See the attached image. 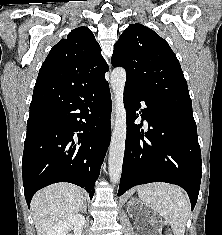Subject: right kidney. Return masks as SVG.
Listing matches in <instances>:
<instances>
[{
	"mask_svg": "<svg viewBox=\"0 0 222 235\" xmlns=\"http://www.w3.org/2000/svg\"><path fill=\"white\" fill-rule=\"evenodd\" d=\"M84 224L85 217L81 214H76L55 224L47 235H67L70 228L73 229L74 235H81Z\"/></svg>",
	"mask_w": 222,
	"mask_h": 235,
	"instance_id": "ca27d5eb",
	"label": "right kidney"
}]
</instances>
